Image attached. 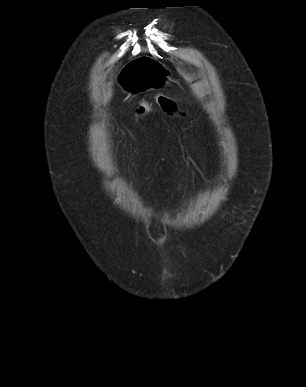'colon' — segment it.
Wrapping results in <instances>:
<instances>
[{"mask_svg":"<svg viewBox=\"0 0 306 387\" xmlns=\"http://www.w3.org/2000/svg\"><path fill=\"white\" fill-rule=\"evenodd\" d=\"M158 103L159 105L163 108L168 113H173L175 111V106L174 104L163 97H158ZM150 107V103L148 101H144L137 109L138 115H144Z\"/></svg>","mask_w":306,"mask_h":387,"instance_id":"1","label":"colon"}]
</instances>
